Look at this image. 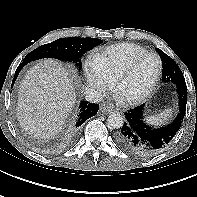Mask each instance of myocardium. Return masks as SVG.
Masks as SVG:
<instances>
[{"mask_svg": "<svg viewBox=\"0 0 197 197\" xmlns=\"http://www.w3.org/2000/svg\"><path fill=\"white\" fill-rule=\"evenodd\" d=\"M148 56H152V57L156 58L157 63H158V70H157L155 78L153 79L149 88L144 93H142L138 96H135V97H131V98L119 97V100L123 104L134 105V104L141 103V102L145 101L147 98H149L153 94V92L155 91V89L160 81L161 75H162L163 64H162V60H161L160 56L154 52H145V53L135 56L116 76V78L114 79L113 89H114V92L117 94V90H118L120 84L130 75V73L133 71L136 64L141 59L148 57Z\"/></svg>", "mask_w": 197, "mask_h": 197, "instance_id": "obj_1", "label": "myocardium"}]
</instances>
